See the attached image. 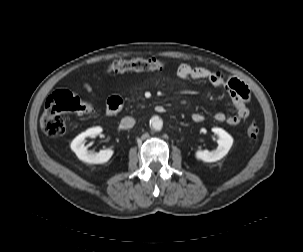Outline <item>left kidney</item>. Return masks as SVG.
I'll return each instance as SVG.
<instances>
[{
  "label": "left kidney",
  "mask_w": 303,
  "mask_h": 252,
  "mask_svg": "<svg viewBox=\"0 0 303 252\" xmlns=\"http://www.w3.org/2000/svg\"><path fill=\"white\" fill-rule=\"evenodd\" d=\"M212 132L219 137L218 147L211 152L208 150H197L195 152V157L204 162H216L220 160L229 152L233 145L232 136L222 128L213 127Z\"/></svg>",
  "instance_id": "1"
}]
</instances>
